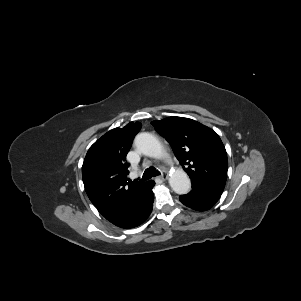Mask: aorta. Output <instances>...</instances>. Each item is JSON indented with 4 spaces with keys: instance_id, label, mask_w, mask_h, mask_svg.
Masks as SVG:
<instances>
[{
    "instance_id": "aorta-1",
    "label": "aorta",
    "mask_w": 301,
    "mask_h": 301,
    "mask_svg": "<svg viewBox=\"0 0 301 301\" xmlns=\"http://www.w3.org/2000/svg\"><path fill=\"white\" fill-rule=\"evenodd\" d=\"M135 146L146 156L160 158L163 154V147L160 141L151 133H139L135 137ZM171 188L177 194H187L191 188V182L188 175L182 170H175L169 178Z\"/></svg>"
}]
</instances>
